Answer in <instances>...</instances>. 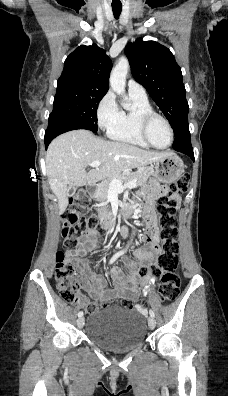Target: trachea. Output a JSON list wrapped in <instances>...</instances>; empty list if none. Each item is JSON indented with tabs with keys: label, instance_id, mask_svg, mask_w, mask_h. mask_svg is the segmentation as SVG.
I'll use <instances>...</instances> for the list:
<instances>
[{
	"label": "trachea",
	"instance_id": "1",
	"mask_svg": "<svg viewBox=\"0 0 228 396\" xmlns=\"http://www.w3.org/2000/svg\"><path fill=\"white\" fill-rule=\"evenodd\" d=\"M112 10H113L114 17L116 19H118L121 14V11H122V6H120V7L113 6Z\"/></svg>",
	"mask_w": 228,
	"mask_h": 396
}]
</instances>
